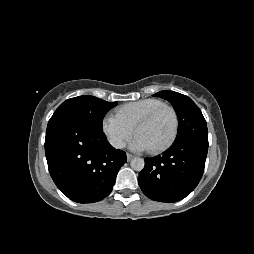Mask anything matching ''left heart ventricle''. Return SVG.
I'll return each instance as SVG.
<instances>
[{"instance_id": "b2bd125f", "label": "left heart ventricle", "mask_w": 254, "mask_h": 254, "mask_svg": "<svg viewBox=\"0 0 254 254\" xmlns=\"http://www.w3.org/2000/svg\"><path fill=\"white\" fill-rule=\"evenodd\" d=\"M173 125V115L170 110L165 109L148 124L139 128L137 135L144 138L150 149L156 148L170 137Z\"/></svg>"}]
</instances>
